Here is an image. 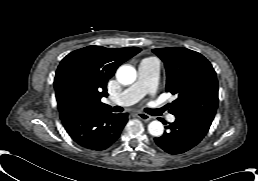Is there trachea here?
Listing matches in <instances>:
<instances>
[{
  "label": "trachea",
  "mask_w": 258,
  "mask_h": 181,
  "mask_svg": "<svg viewBox=\"0 0 258 181\" xmlns=\"http://www.w3.org/2000/svg\"><path fill=\"white\" fill-rule=\"evenodd\" d=\"M165 109L164 108H160V109H151V110H147V113L157 116L160 115ZM123 108L120 106H115L114 107V112H122Z\"/></svg>",
  "instance_id": "obj_1"
}]
</instances>
